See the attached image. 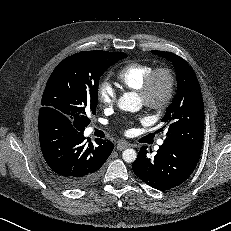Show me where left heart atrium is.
Here are the masks:
<instances>
[{
    "label": "left heart atrium",
    "instance_id": "left-heart-atrium-1",
    "mask_svg": "<svg viewBox=\"0 0 231 231\" xmlns=\"http://www.w3.org/2000/svg\"><path fill=\"white\" fill-rule=\"evenodd\" d=\"M141 121L142 122H145L146 120L143 118V119H141ZM131 132V129L129 128V129H127V133H130Z\"/></svg>",
    "mask_w": 231,
    "mask_h": 231
}]
</instances>
